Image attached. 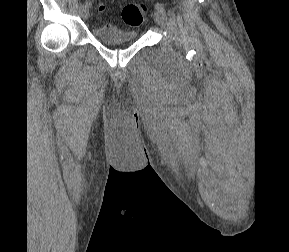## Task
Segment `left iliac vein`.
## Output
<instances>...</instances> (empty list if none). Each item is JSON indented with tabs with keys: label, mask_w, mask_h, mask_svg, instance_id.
Segmentation results:
<instances>
[{
	"label": "left iliac vein",
	"mask_w": 289,
	"mask_h": 252,
	"mask_svg": "<svg viewBox=\"0 0 289 252\" xmlns=\"http://www.w3.org/2000/svg\"><path fill=\"white\" fill-rule=\"evenodd\" d=\"M154 20L158 25L163 26L166 22V14L160 10H156L154 13Z\"/></svg>",
	"instance_id": "4c4485c4"
}]
</instances>
